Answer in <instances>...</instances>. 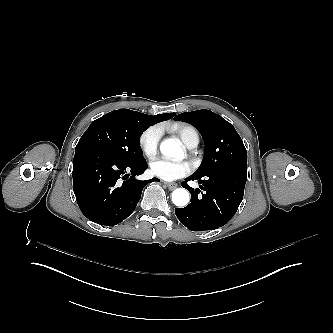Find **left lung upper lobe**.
Wrapping results in <instances>:
<instances>
[{
  "mask_svg": "<svg viewBox=\"0 0 333 333\" xmlns=\"http://www.w3.org/2000/svg\"><path fill=\"white\" fill-rule=\"evenodd\" d=\"M174 120L194 125L205 142V154L197 178H207L228 167L247 168L246 148L235 128L218 114L209 110H198L177 115Z\"/></svg>",
  "mask_w": 333,
  "mask_h": 333,
  "instance_id": "left-lung-upper-lobe-1",
  "label": "left lung upper lobe"
}]
</instances>
